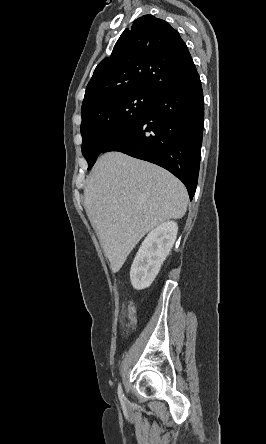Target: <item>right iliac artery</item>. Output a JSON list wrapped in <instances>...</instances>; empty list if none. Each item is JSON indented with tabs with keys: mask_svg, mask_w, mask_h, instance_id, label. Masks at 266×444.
I'll return each mask as SVG.
<instances>
[{
	"mask_svg": "<svg viewBox=\"0 0 266 444\" xmlns=\"http://www.w3.org/2000/svg\"><path fill=\"white\" fill-rule=\"evenodd\" d=\"M118 396L122 404L125 402V396L121 384L118 386Z\"/></svg>",
	"mask_w": 266,
	"mask_h": 444,
	"instance_id": "right-iliac-artery-1",
	"label": "right iliac artery"
}]
</instances>
